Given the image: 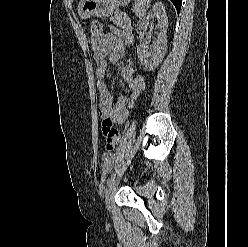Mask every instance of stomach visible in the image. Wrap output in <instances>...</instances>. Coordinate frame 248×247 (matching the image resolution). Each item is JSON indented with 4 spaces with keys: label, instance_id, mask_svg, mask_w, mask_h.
Returning <instances> with one entry per match:
<instances>
[{
    "label": "stomach",
    "instance_id": "stomach-1",
    "mask_svg": "<svg viewBox=\"0 0 248 247\" xmlns=\"http://www.w3.org/2000/svg\"><path fill=\"white\" fill-rule=\"evenodd\" d=\"M130 0H81L78 4L80 18L87 19L91 16L106 17L113 13L120 5H125Z\"/></svg>",
    "mask_w": 248,
    "mask_h": 247
}]
</instances>
